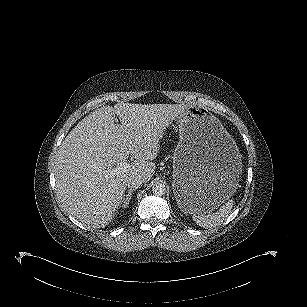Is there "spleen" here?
I'll return each mask as SVG.
<instances>
[{
	"instance_id": "spleen-1",
	"label": "spleen",
	"mask_w": 307,
	"mask_h": 307,
	"mask_svg": "<svg viewBox=\"0 0 307 307\" xmlns=\"http://www.w3.org/2000/svg\"><path fill=\"white\" fill-rule=\"evenodd\" d=\"M234 205V200L230 199L223 204L219 210L211 213L203 208H195L190 214L193 220L201 227L214 228L221 225L228 217Z\"/></svg>"
}]
</instances>
